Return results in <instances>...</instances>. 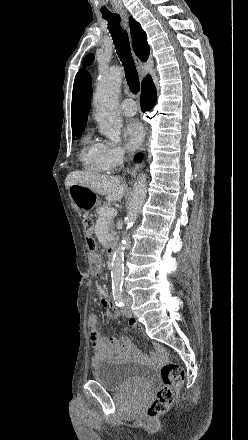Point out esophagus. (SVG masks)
<instances>
[{"instance_id":"34e87169","label":"esophagus","mask_w":248,"mask_h":440,"mask_svg":"<svg viewBox=\"0 0 248 440\" xmlns=\"http://www.w3.org/2000/svg\"><path fill=\"white\" fill-rule=\"evenodd\" d=\"M121 15L123 16L124 20L127 21V17H128V15H127V12H126L125 10H122V11H121ZM133 56H134V61H135V64H136V66H137L138 71H139L140 73H142L143 63L141 62V60H140L135 54H133ZM146 147H147V141H146V143L144 144V146H143V148H142V152H145V151H146ZM139 167H140L139 164H134V165L128 170V172L131 173V174H135V173H137V171L139 170Z\"/></svg>"}]
</instances>
